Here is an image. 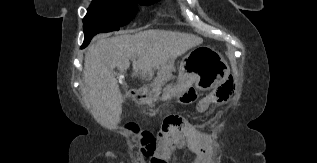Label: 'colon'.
<instances>
[{
    "instance_id": "colon-1",
    "label": "colon",
    "mask_w": 317,
    "mask_h": 163,
    "mask_svg": "<svg viewBox=\"0 0 317 163\" xmlns=\"http://www.w3.org/2000/svg\"><path fill=\"white\" fill-rule=\"evenodd\" d=\"M234 90V82L232 79L226 80L223 84L215 88L210 94L201 98L197 103V110L200 112L207 111L211 105L215 103H222L229 99ZM181 101L183 103H189L191 96H184ZM130 131L140 136V146L142 154L145 157L153 158L156 153L157 144L159 142L158 135L150 130H141L136 125H130L128 127Z\"/></svg>"
}]
</instances>
